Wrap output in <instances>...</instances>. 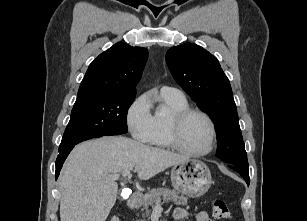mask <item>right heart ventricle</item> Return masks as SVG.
<instances>
[{"label":"right heart ventricle","instance_id":"1","mask_svg":"<svg viewBox=\"0 0 307 221\" xmlns=\"http://www.w3.org/2000/svg\"><path fill=\"white\" fill-rule=\"evenodd\" d=\"M161 107L157 108L151 116L149 144L159 148H170V124L173 115L183 109L189 108L184 95L160 93Z\"/></svg>","mask_w":307,"mask_h":221}]
</instances>
